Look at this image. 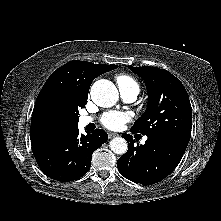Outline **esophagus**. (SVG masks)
<instances>
[{
  "instance_id": "34e87169",
  "label": "esophagus",
  "mask_w": 221,
  "mask_h": 221,
  "mask_svg": "<svg viewBox=\"0 0 221 221\" xmlns=\"http://www.w3.org/2000/svg\"><path fill=\"white\" fill-rule=\"evenodd\" d=\"M116 136H119V134L113 133V132H109V133H108L109 139H111V138H113V137H116Z\"/></svg>"
}]
</instances>
